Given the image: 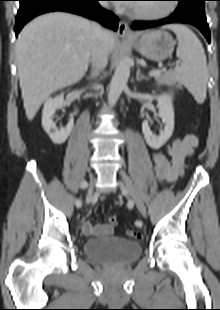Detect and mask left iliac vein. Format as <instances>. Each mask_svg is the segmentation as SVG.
I'll list each match as a JSON object with an SVG mask.
<instances>
[{"instance_id": "1", "label": "left iliac vein", "mask_w": 220, "mask_h": 310, "mask_svg": "<svg viewBox=\"0 0 220 310\" xmlns=\"http://www.w3.org/2000/svg\"><path fill=\"white\" fill-rule=\"evenodd\" d=\"M119 175H120L122 181L125 184V188H126L128 194L130 195L132 200L135 202L137 208L142 213V215L144 217H146V209H145L144 203H143V201H142V199H141V197H140L136 187L134 186L131 178L122 169L119 171Z\"/></svg>"}]
</instances>
